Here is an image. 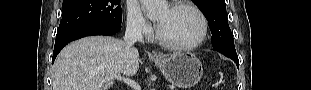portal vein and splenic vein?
<instances>
[{
	"instance_id": "obj_1",
	"label": "portal vein and splenic vein",
	"mask_w": 311,
	"mask_h": 90,
	"mask_svg": "<svg viewBox=\"0 0 311 90\" xmlns=\"http://www.w3.org/2000/svg\"><path fill=\"white\" fill-rule=\"evenodd\" d=\"M113 78L124 81V82L127 83L129 86H131L132 88H134V90H140V89H141L140 86H139L136 82H134V81H132V80H130V79H128V78H123V77H121L120 75H116V76H114V77L107 78V80L113 79Z\"/></svg>"
}]
</instances>
